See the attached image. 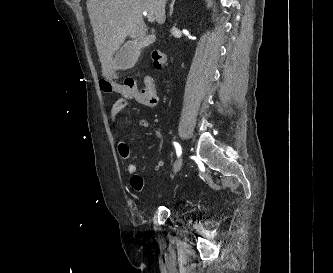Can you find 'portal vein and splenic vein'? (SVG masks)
Instances as JSON below:
<instances>
[{"instance_id": "portal-vein-and-splenic-vein-1", "label": "portal vein and splenic vein", "mask_w": 333, "mask_h": 273, "mask_svg": "<svg viewBox=\"0 0 333 273\" xmlns=\"http://www.w3.org/2000/svg\"><path fill=\"white\" fill-rule=\"evenodd\" d=\"M144 14H146L147 15V13H144ZM147 20L149 21V22H154V20H155V18L153 17V15H147Z\"/></svg>"}]
</instances>
